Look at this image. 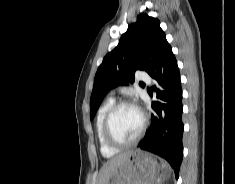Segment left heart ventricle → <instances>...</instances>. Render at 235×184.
I'll list each match as a JSON object with an SVG mask.
<instances>
[{"instance_id": "1", "label": "left heart ventricle", "mask_w": 235, "mask_h": 184, "mask_svg": "<svg viewBox=\"0 0 235 184\" xmlns=\"http://www.w3.org/2000/svg\"><path fill=\"white\" fill-rule=\"evenodd\" d=\"M142 125L140 112L133 107L119 109L112 121L113 133L116 138L122 141L133 139L139 132Z\"/></svg>"}]
</instances>
